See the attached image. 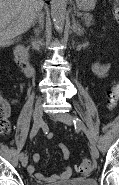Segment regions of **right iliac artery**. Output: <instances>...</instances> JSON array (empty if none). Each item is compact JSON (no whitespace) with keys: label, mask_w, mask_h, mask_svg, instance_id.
<instances>
[{"label":"right iliac artery","mask_w":119,"mask_h":185,"mask_svg":"<svg viewBox=\"0 0 119 185\" xmlns=\"http://www.w3.org/2000/svg\"><path fill=\"white\" fill-rule=\"evenodd\" d=\"M38 115H39L38 113H33L32 116H31L32 118H35L34 120L36 121V122H35L36 124H39V123H40V122L38 121L39 119L37 118ZM38 130H39V127L33 125V128H32V130H31V132H30V138H31V139L37 134ZM23 157H24V153L21 152L20 155H19L20 160H21Z\"/></svg>","instance_id":"right-iliac-artery-1"}]
</instances>
